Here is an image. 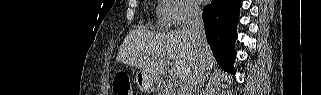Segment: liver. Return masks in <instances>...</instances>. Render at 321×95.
I'll return each mask as SVG.
<instances>
[{"mask_svg":"<svg viewBox=\"0 0 321 95\" xmlns=\"http://www.w3.org/2000/svg\"><path fill=\"white\" fill-rule=\"evenodd\" d=\"M202 54L206 69H212L215 60L208 44ZM116 60L138 68L152 79L170 71L172 76L183 82L194 71L199 53L188 29L168 33L136 29L126 36Z\"/></svg>","mask_w":321,"mask_h":95,"instance_id":"6515ba94","label":"liver"}]
</instances>
